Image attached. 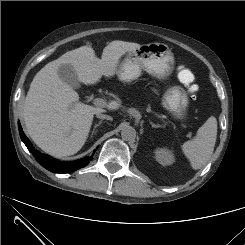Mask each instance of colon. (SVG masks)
<instances>
[{
	"mask_svg": "<svg viewBox=\"0 0 245 245\" xmlns=\"http://www.w3.org/2000/svg\"><path fill=\"white\" fill-rule=\"evenodd\" d=\"M183 84L186 85L187 91L190 95H195L199 90V87L196 84H192V82L191 83H183Z\"/></svg>",
	"mask_w": 245,
	"mask_h": 245,
	"instance_id": "1",
	"label": "colon"
}]
</instances>
